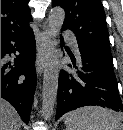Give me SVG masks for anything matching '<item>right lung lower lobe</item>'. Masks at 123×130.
<instances>
[{
  "label": "right lung lower lobe",
  "instance_id": "98d812e1",
  "mask_svg": "<svg viewBox=\"0 0 123 130\" xmlns=\"http://www.w3.org/2000/svg\"><path fill=\"white\" fill-rule=\"evenodd\" d=\"M19 52L11 65L5 55ZM36 44L32 29L1 37V97L12 104L28 123L36 87Z\"/></svg>",
  "mask_w": 123,
  "mask_h": 130
}]
</instances>
